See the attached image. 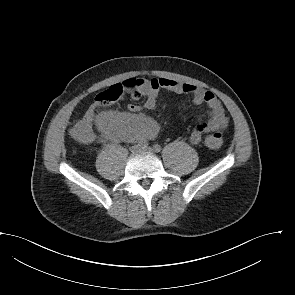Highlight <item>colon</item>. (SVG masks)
Masks as SVG:
<instances>
[{"label":"colon","instance_id":"colon-1","mask_svg":"<svg viewBox=\"0 0 295 295\" xmlns=\"http://www.w3.org/2000/svg\"><path fill=\"white\" fill-rule=\"evenodd\" d=\"M135 85L136 83L132 79L123 83L114 84L97 94L84 118L71 129L72 137L81 143L90 142L94 136L92 122L95 109L100 106H107L118 102L121 99L124 90L132 89ZM205 143L211 149H219L222 145V139L217 135H209L206 138Z\"/></svg>","mask_w":295,"mask_h":295}]
</instances>
